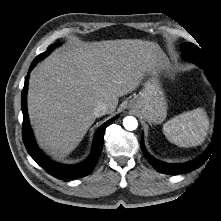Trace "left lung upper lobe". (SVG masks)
<instances>
[{
	"label": "left lung upper lobe",
	"instance_id": "5c2ea615",
	"mask_svg": "<svg viewBox=\"0 0 221 221\" xmlns=\"http://www.w3.org/2000/svg\"><path fill=\"white\" fill-rule=\"evenodd\" d=\"M182 52L185 59L192 61L199 66L208 63L202 50L192 43H183Z\"/></svg>",
	"mask_w": 221,
	"mask_h": 221
}]
</instances>
